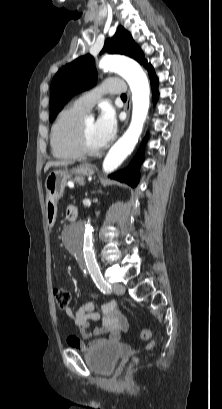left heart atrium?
I'll return each instance as SVG.
<instances>
[{
	"mask_svg": "<svg viewBox=\"0 0 222 409\" xmlns=\"http://www.w3.org/2000/svg\"><path fill=\"white\" fill-rule=\"evenodd\" d=\"M95 129L100 147H104L114 137L117 122L113 110L105 107L95 122Z\"/></svg>",
	"mask_w": 222,
	"mask_h": 409,
	"instance_id": "39dd6f15",
	"label": "left heart atrium"
}]
</instances>
